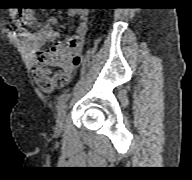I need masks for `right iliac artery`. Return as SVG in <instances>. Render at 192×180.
Wrapping results in <instances>:
<instances>
[{"label": "right iliac artery", "instance_id": "obj_1", "mask_svg": "<svg viewBox=\"0 0 192 180\" xmlns=\"http://www.w3.org/2000/svg\"><path fill=\"white\" fill-rule=\"evenodd\" d=\"M70 93H63L58 98V104H57V110H60L66 103V101L69 99Z\"/></svg>", "mask_w": 192, "mask_h": 180}]
</instances>
